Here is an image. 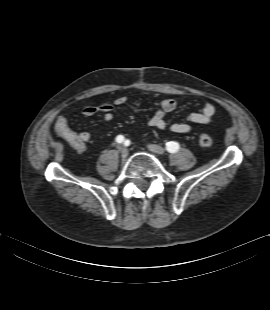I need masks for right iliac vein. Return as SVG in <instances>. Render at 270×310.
Masks as SVG:
<instances>
[{"instance_id": "right-iliac-vein-1", "label": "right iliac vein", "mask_w": 270, "mask_h": 310, "mask_svg": "<svg viewBox=\"0 0 270 310\" xmlns=\"http://www.w3.org/2000/svg\"><path fill=\"white\" fill-rule=\"evenodd\" d=\"M120 154L123 158H126L128 156V149L126 147H120L119 148Z\"/></svg>"}]
</instances>
